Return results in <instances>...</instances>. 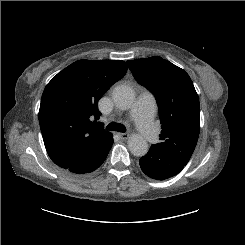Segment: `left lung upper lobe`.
Segmentation results:
<instances>
[{
  "mask_svg": "<svg viewBox=\"0 0 245 245\" xmlns=\"http://www.w3.org/2000/svg\"><path fill=\"white\" fill-rule=\"evenodd\" d=\"M127 64L158 104L161 142L152 147L186 165L200 131L199 98L192 80L183 69L159 56L128 60Z\"/></svg>",
  "mask_w": 245,
  "mask_h": 245,
  "instance_id": "left-lung-upper-lobe-1",
  "label": "left lung upper lobe"
}]
</instances>
